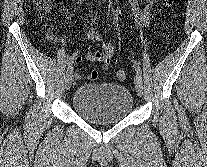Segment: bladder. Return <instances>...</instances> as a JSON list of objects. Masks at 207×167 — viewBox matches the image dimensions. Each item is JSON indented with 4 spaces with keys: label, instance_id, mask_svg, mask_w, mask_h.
<instances>
[{
    "label": "bladder",
    "instance_id": "obj_1",
    "mask_svg": "<svg viewBox=\"0 0 207 167\" xmlns=\"http://www.w3.org/2000/svg\"><path fill=\"white\" fill-rule=\"evenodd\" d=\"M74 110L95 123H115L127 117L133 107L129 89L115 83H88L73 95Z\"/></svg>",
    "mask_w": 207,
    "mask_h": 167
}]
</instances>
